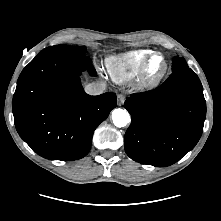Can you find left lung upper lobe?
<instances>
[{
    "label": "left lung upper lobe",
    "mask_w": 221,
    "mask_h": 221,
    "mask_svg": "<svg viewBox=\"0 0 221 221\" xmlns=\"http://www.w3.org/2000/svg\"><path fill=\"white\" fill-rule=\"evenodd\" d=\"M184 67H188L186 61L182 58L174 57L172 64V72Z\"/></svg>",
    "instance_id": "obj_1"
}]
</instances>
